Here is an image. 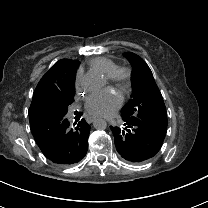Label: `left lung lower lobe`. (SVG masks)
<instances>
[{
	"label": "left lung lower lobe",
	"instance_id": "obj_1",
	"mask_svg": "<svg viewBox=\"0 0 208 208\" xmlns=\"http://www.w3.org/2000/svg\"><path fill=\"white\" fill-rule=\"evenodd\" d=\"M122 117V128L110 127L121 157L131 163H144L154 157L162 146L166 132L142 120Z\"/></svg>",
	"mask_w": 208,
	"mask_h": 208
}]
</instances>
